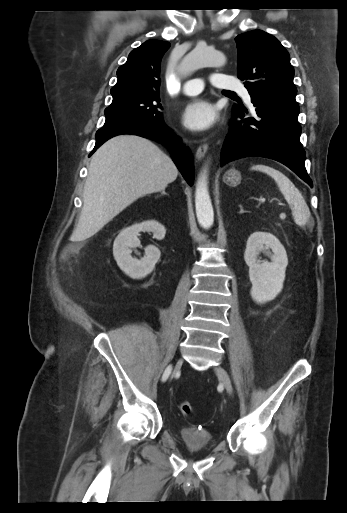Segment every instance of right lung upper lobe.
Returning <instances> with one entry per match:
<instances>
[{
	"mask_svg": "<svg viewBox=\"0 0 347 513\" xmlns=\"http://www.w3.org/2000/svg\"><path fill=\"white\" fill-rule=\"evenodd\" d=\"M169 47V42L148 40L131 51L117 70L118 81L110 91L113 100L130 94H159L160 63Z\"/></svg>",
	"mask_w": 347,
	"mask_h": 513,
	"instance_id": "cb5924a9",
	"label": "right lung upper lobe"
}]
</instances>
